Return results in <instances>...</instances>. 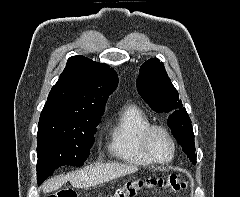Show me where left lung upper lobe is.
<instances>
[{
  "mask_svg": "<svg viewBox=\"0 0 240 197\" xmlns=\"http://www.w3.org/2000/svg\"><path fill=\"white\" fill-rule=\"evenodd\" d=\"M138 93L150 108L158 113H171L168 126L188 158L196 163L191 120L182 107L179 95L168 77L164 64L157 58L147 60L136 81Z\"/></svg>",
  "mask_w": 240,
  "mask_h": 197,
  "instance_id": "5c2ea615",
  "label": "left lung upper lobe"
}]
</instances>
